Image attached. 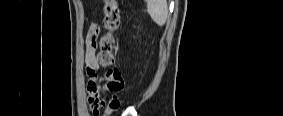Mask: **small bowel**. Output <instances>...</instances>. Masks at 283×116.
I'll return each mask as SVG.
<instances>
[{"label": "small bowel", "instance_id": "obj_1", "mask_svg": "<svg viewBox=\"0 0 283 116\" xmlns=\"http://www.w3.org/2000/svg\"><path fill=\"white\" fill-rule=\"evenodd\" d=\"M100 29L93 23L90 26L89 32L86 38V73L88 76V104L91 109L95 105H100L104 102V92L109 90V81L104 77L100 79L98 75L99 64L96 58L97 42Z\"/></svg>", "mask_w": 283, "mask_h": 116}]
</instances>
